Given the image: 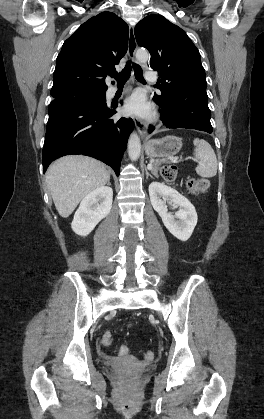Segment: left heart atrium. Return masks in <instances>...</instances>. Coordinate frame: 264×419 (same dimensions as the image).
Masks as SVG:
<instances>
[{
  "label": "left heart atrium",
  "mask_w": 264,
  "mask_h": 419,
  "mask_svg": "<svg viewBox=\"0 0 264 419\" xmlns=\"http://www.w3.org/2000/svg\"><path fill=\"white\" fill-rule=\"evenodd\" d=\"M125 111L132 115L147 117L151 115L152 109L144 94L137 91L127 100Z\"/></svg>",
  "instance_id": "1"
}]
</instances>
